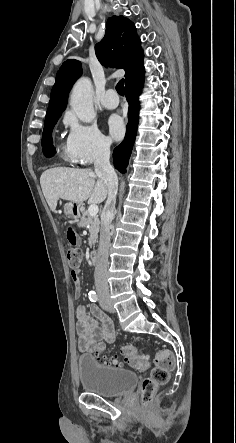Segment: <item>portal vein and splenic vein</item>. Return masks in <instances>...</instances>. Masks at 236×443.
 Segmentation results:
<instances>
[{
	"mask_svg": "<svg viewBox=\"0 0 236 443\" xmlns=\"http://www.w3.org/2000/svg\"><path fill=\"white\" fill-rule=\"evenodd\" d=\"M98 206L95 204H92L88 208V212L90 216H96L98 214Z\"/></svg>",
	"mask_w": 236,
	"mask_h": 443,
	"instance_id": "1",
	"label": "portal vein and splenic vein"
}]
</instances>
